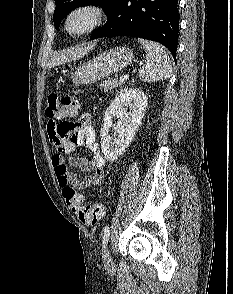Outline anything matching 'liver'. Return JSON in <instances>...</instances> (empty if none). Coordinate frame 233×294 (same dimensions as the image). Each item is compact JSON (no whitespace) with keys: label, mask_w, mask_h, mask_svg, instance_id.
Instances as JSON below:
<instances>
[{"label":"liver","mask_w":233,"mask_h":294,"mask_svg":"<svg viewBox=\"0 0 233 294\" xmlns=\"http://www.w3.org/2000/svg\"><path fill=\"white\" fill-rule=\"evenodd\" d=\"M91 48H92V46H88V47H84V48H77L75 50H70V51L64 52L60 55L54 56L49 61L48 67H53L58 64L71 62L75 59H79L82 56L86 55Z\"/></svg>","instance_id":"6515ba94"}]
</instances>
